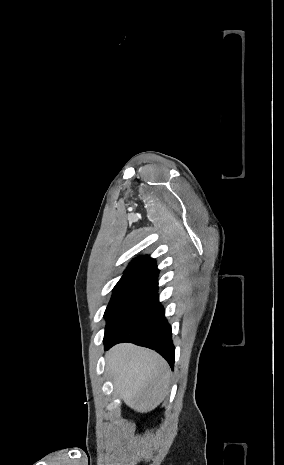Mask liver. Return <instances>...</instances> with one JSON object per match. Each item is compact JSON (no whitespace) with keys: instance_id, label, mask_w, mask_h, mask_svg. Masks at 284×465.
<instances>
[{"instance_id":"obj_1","label":"liver","mask_w":284,"mask_h":465,"mask_svg":"<svg viewBox=\"0 0 284 465\" xmlns=\"http://www.w3.org/2000/svg\"><path fill=\"white\" fill-rule=\"evenodd\" d=\"M106 365L120 399L137 413L153 411L168 395L170 367L154 351L116 345L108 351Z\"/></svg>"}]
</instances>
